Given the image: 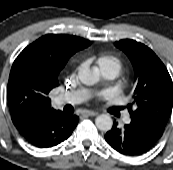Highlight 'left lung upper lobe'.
<instances>
[{"mask_svg":"<svg viewBox=\"0 0 173 170\" xmlns=\"http://www.w3.org/2000/svg\"><path fill=\"white\" fill-rule=\"evenodd\" d=\"M115 46L126 53L134 68L136 87L128 104L131 119L164 132L173 104L172 79L165 65L140 42L124 39Z\"/></svg>","mask_w":173,"mask_h":170,"instance_id":"obj_1","label":"left lung upper lobe"}]
</instances>
